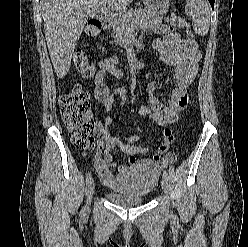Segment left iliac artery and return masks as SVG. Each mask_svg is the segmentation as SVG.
I'll return each instance as SVG.
<instances>
[{
    "label": "left iliac artery",
    "mask_w": 248,
    "mask_h": 247,
    "mask_svg": "<svg viewBox=\"0 0 248 247\" xmlns=\"http://www.w3.org/2000/svg\"><path fill=\"white\" fill-rule=\"evenodd\" d=\"M163 177H167L169 179V175H168V173L166 171H164Z\"/></svg>",
    "instance_id": "left-iliac-artery-1"
}]
</instances>
